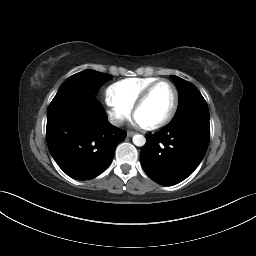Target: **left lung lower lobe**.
Masks as SVG:
<instances>
[{
    "mask_svg": "<svg viewBox=\"0 0 256 256\" xmlns=\"http://www.w3.org/2000/svg\"><path fill=\"white\" fill-rule=\"evenodd\" d=\"M146 138L140 153L145 173L161 185H174L186 179L205 156L209 119L187 116Z\"/></svg>",
    "mask_w": 256,
    "mask_h": 256,
    "instance_id": "1",
    "label": "left lung lower lobe"
}]
</instances>
